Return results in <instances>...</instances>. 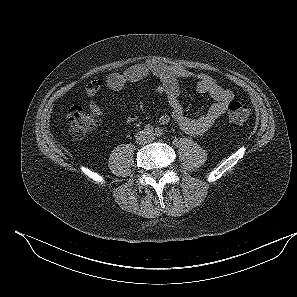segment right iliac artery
<instances>
[{"instance_id": "obj_1", "label": "right iliac artery", "mask_w": 297, "mask_h": 297, "mask_svg": "<svg viewBox=\"0 0 297 297\" xmlns=\"http://www.w3.org/2000/svg\"><path fill=\"white\" fill-rule=\"evenodd\" d=\"M144 133L146 134H152L153 133V127L150 124H147L144 128Z\"/></svg>"}]
</instances>
